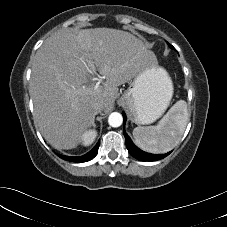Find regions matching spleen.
<instances>
[{"instance_id":"1","label":"spleen","mask_w":227,"mask_h":227,"mask_svg":"<svg viewBox=\"0 0 227 227\" xmlns=\"http://www.w3.org/2000/svg\"><path fill=\"white\" fill-rule=\"evenodd\" d=\"M188 118L187 104L179 100L156 126L134 128L135 144L150 153H166L181 140Z\"/></svg>"}]
</instances>
